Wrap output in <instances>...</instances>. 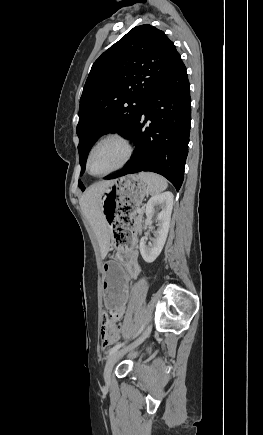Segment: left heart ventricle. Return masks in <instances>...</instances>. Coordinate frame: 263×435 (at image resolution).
<instances>
[{
	"instance_id": "b2bd125f",
	"label": "left heart ventricle",
	"mask_w": 263,
	"mask_h": 435,
	"mask_svg": "<svg viewBox=\"0 0 263 435\" xmlns=\"http://www.w3.org/2000/svg\"><path fill=\"white\" fill-rule=\"evenodd\" d=\"M125 155L124 147L116 141L100 144L90 159V171L93 174L105 173L119 165Z\"/></svg>"
}]
</instances>
